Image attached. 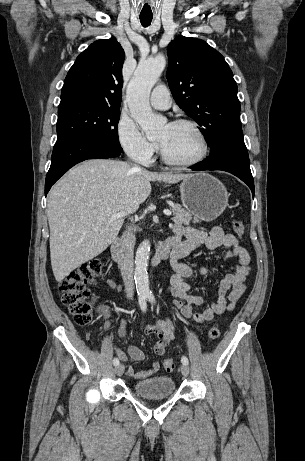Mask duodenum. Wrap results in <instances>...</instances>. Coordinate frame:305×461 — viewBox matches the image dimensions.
<instances>
[{"label": "duodenum", "mask_w": 305, "mask_h": 461, "mask_svg": "<svg viewBox=\"0 0 305 461\" xmlns=\"http://www.w3.org/2000/svg\"><path fill=\"white\" fill-rule=\"evenodd\" d=\"M180 244V238L178 236H171L161 242L153 256V263L158 264L164 260H166L171 250L175 249ZM111 254L115 261L121 262L122 261V249H121V241L116 239L113 241L111 245Z\"/></svg>", "instance_id": "1"}]
</instances>
